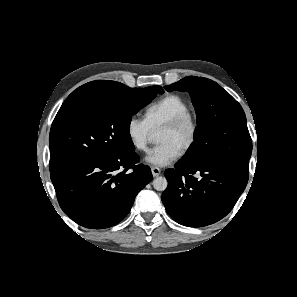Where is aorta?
Masks as SVG:
<instances>
[{"mask_svg":"<svg viewBox=\"0 0 297 297\" xmlns=\"http://www.w3.org/2000/svg\"><path fill=\"white\" fill-rule=\"evenodd\" d=\"M168 186L167 179L165 177H157L153 180V187L157 191H164Z\"/></svg>","mask_w":297,"mask_h":297,"instance_id":"obj_1","label":"aorta"}]
</instances>
